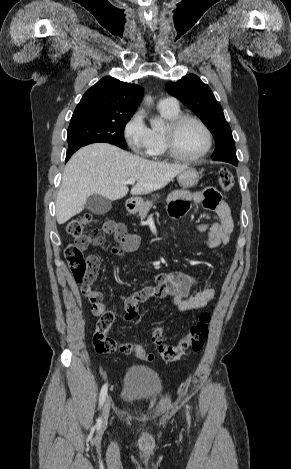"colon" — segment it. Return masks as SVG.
Returning <instances> with one entry per match:
<instances>
[{"label": "colon", "mask_w": 291, "mask_h": 469, "mask_svg": "<svg viewBox=\"0 0 291 469\" xmlns=\"http://www.w3.org/2000/svg\"><path fill=\"white\" fill-rule=\"evenodd\" d=\"M218 180L224 192L231 190L234 180L229 169L221 168L218 171ZM90 223V215L74 218L68 223L67 231L75 238V242L66 246L65 258L73 277L82 285L83 295L93 304V313L99 316L96 332L93 336L95 350L101 354H110L119 349L124 354H134L140 359L150 361L153 359V355L147 353L141 345L123 344L118 346L116 341L107 334L114 322V314L106 308L101 296L91 288V284L97 275V267L84 251L87 245L102 239V232L101 230H93L87 233ZM210 322V315L202 313L198 322L192 325L175 345L165 343L162 327L156 326L152 332V342L164 361H177L184 355L186 350L191 349L198 352L203 348L208 339Z\"/></svg>", "instance_id": "obj_1"}]
</instances>
